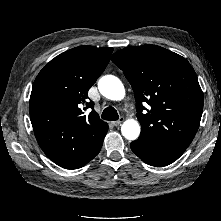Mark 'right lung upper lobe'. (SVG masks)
<instances>
[{
	"label": "right lung upper lobe",
	"mask_w": 221,
	"mask_h": 221,
	"mask_svg": "<svg viewBox=\"0 0 221 221\" xmlns=\"http://www.w3.org/2000/svg\"><path fill=\"white\" fill-rule=\"evenodd\" d=\"M112 51L88 45L73 48L52 59L34 81L29 101L33 130L43 152L61 167L78 169L93 159L108 129L87 93Z\"/></svg>",
	"instance_id": "obj_1"
}]
</instances>
